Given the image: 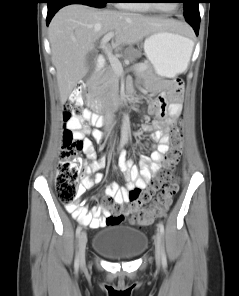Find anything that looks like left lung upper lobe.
I'll list each match as a JSON object with an SVG mask.
<instances>
[{"mask_svg": "<svg viewBox=\"0 0 239 296\" xmlns=\"http://www.w3.org/2000/svg\"><path fill=\"white\" fill-rule=\"evenodd\" d=\"M184 15L187 21H200L199 0H183Z\"/></svg>", "mask_w": 239, "mask_h": 296, "instance_id": "left-lung-upper-lobe-1", "label": "left lung upper lobe"}]
</instances>
